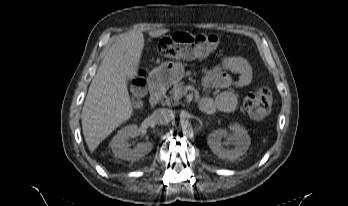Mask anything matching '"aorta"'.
I'll use <instances>...</instances> for the list:
<instances>
[{
  "mask_svg": "<svg viewBox=\"0 0 348 206\" xmlns=\"http://www.w3.org/2000/svg\"><path fill=\"white\" fill-rule=\"evenodd\" d=\"M179 127L183 134H188L192 131V125L188 120H180Z\"/></svg>",
  "mask_w": 348,
  "mask_h": 206,
  "instance_id": "762f6f07",
  "label": "aorta"
}]
</instances>
